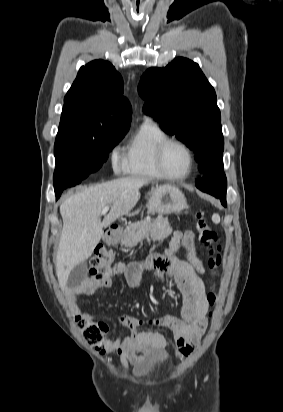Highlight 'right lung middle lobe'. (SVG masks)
Wrapping results in <instances>:
<instances>
[{"mask_svg":"<svg viewBox=\"0 0 283 412\" xmlns=\"http://www.w3.org/2000/svg\"><path fill=\"white\" fill-rule=\"evenodd\" d=\"M125 132L94 133L74 120H61L54 145V180L85 179L101 168Z\"/></svg>","mask_w":283,"mask_h":412,"instance_id":"right-lung-middle-lobe-1","label":"right lung middle lobe"}]
</instances>
